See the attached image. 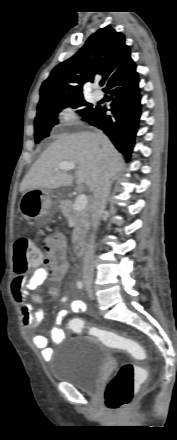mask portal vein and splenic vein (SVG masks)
I'll return each mask as SVG.
<instances>
[{
    "mask_svg": "<svg viewBox=\"0 0 177 440\" xmlns=\"http://www.w3.org/2000/svg\"><path fill=\"white\" fill-rule=\"evenodd\" d=\"M75 167H76V165L73 162H61L58 164L55 171H59V170L68 171V170L75 169ZM86 205H87V196L84 194H80L79 196H77L73 207H74V210L81 211L86 208Z\"/></svg>",
    "mask_w": 177,
    "mask_h": 440,
    "instance_id": "1",
    "label": "portal vein and splenic vein"
}]
</instances>
